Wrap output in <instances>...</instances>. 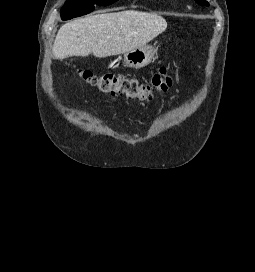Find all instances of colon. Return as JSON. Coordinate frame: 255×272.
Returning <instances> with one entry per match:
<instances>
[{"instance_id": "5ec220e1", "label": "colon", "mask_w": 255, "mask_h": 272, "mask_svg": "<svg viewBox=\"0 0 255 272\" xmlns=\"http://www.w3.org/2000/svg\"><path fill=\"white\" fill-rule=\"evenodd\" d=\"M79 76L99 92L111 96H124L132 100L149 101L155 94L167 91L174 83L167 67H161L148 83L127 75L80 70Z\"/></svg>"}]
</instances>
